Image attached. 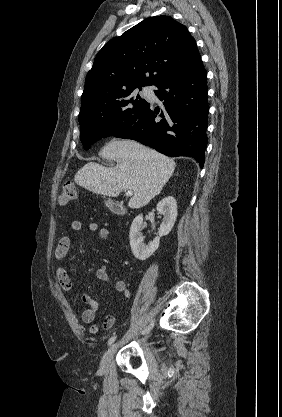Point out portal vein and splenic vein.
Segmentation results:
<instances>
[{
  "mask_svg": "<svg viewBox=\"0 0 282 417\" xmlns=\"http://www.w3.org/2000/svg\"><path fill=\"white\" fill-rule=\"evenodd\" d=\"M126 194H127V196H132L133 190H127Z\"/></svg>",
  "mask_w": 282,
  "mask_h": 417,
  "instance_id": "portal-vein-and-splenic-vein-1",
  "label": "portal vein and splenic vein"
}]
</instances>
